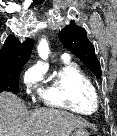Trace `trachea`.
I'll list each match as a JSON object with an SVG mask.
<instances>
[{
  "label": "trachea",
  "instance_id": "1",
  "mask_svg": "<svg viewBox=\"0 0 117 136\" xmlns=\"http://www.w3.org/2000/svg\"><path fill=\"white\" fill-rule=\"evenodd\" d=\"M42 2H44V0H35V4L37 5L41 4Z\"/></svg>",
  "mask_w": 117,
  "mask_h": 136
}]
</instances>
